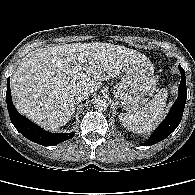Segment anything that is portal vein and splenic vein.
<instances>
[{"mask_svg":"<svg viewBox=\"0 0 195 195\" xmlns=\"http://www.w3.org/2000/svg\"><path fill=\"white\" fill-rule=\"evenodd\" d=\"M82 68H83V64H82V63H79V64L77 65V71L82 70Z\"/></svg>","mask_w":195,"mask_h":195,"instance_id":"obj_1","label":"portal vein and splenic vein"}]
</instances>
